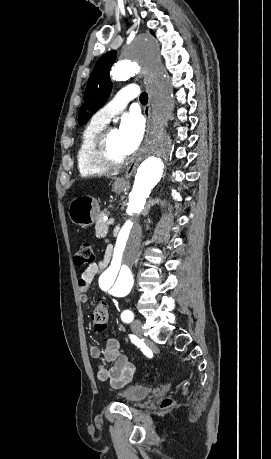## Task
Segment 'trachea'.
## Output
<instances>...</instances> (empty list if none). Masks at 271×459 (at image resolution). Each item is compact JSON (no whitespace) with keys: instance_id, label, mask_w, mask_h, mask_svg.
Segmentation results:
<instances>
[{"instance_id":"trachea-1","label":"trachea","mask_w":271,"mask_h":459,"mask_svg":"<svg viewBox=\"0 0 271 459\" xmlns=\"http://www.w3.org/2000/svg\"><path fill=\"white\" fill-rule=\"evenodd\" d=\"M139 100L141 103L143 104H146L148 102V95L146 92H143L140 97H139Z\"/></svg>"}]
</instances>
